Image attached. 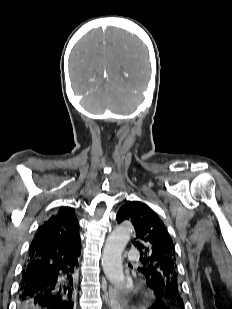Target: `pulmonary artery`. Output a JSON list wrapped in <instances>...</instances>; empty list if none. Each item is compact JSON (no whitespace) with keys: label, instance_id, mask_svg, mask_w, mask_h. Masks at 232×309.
Instances as JSON below:
<instances>
[{"label":"pulmonary artery","instance_id":"1","mask_svg":"<svg viewBox=\"0 0 232 309\" xmlns=\"http://www.w3.org/2000/svg\"><path fill=\"white\" fill-rule=\"evenodd\" d=\"M127 256H128L129 259L137 260L139 258V253H138L137 250H131V251H129Z\"/></svg>","mask_w":232,"mask_h":309}]
</instances>
